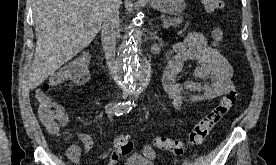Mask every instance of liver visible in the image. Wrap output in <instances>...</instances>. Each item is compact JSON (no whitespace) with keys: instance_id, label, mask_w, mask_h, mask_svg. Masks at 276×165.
Instances as JSON below:
<instances>
[{"instance_id":"6515ba94","label":"liver","mask_w":276,"mask_h":165,"mask_svg":"<svg viewBox=\"0 0 276 165\" xmlns=\"http://www.w3.org/2000/svg\"><path fill=\"white\" fill-rule=\"evenodd\" d=\"M119 0V5L121 4ZM105 0H36V49L28 74L33 90L97 36Z\"/></svg>"}]
</instances>
